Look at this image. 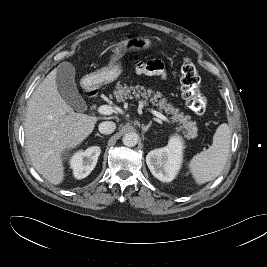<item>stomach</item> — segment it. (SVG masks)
I'll return each mask as SVG.
<instances>
[{"label":"stomach","mask_w":267,"mask_h":267,"mask_svg":"<svg viewBox=\"0 0 267 267\" xmlns=\"http://www.w3.org/2000/svg\"><path fill=\"white\" fill-rule=\"evenodd\" d=\"M151 47V41L144 37L127 38L116 44L108 66H105L85 77L88 86L100 87L116 80L122 73L120 57L128 51L147 50Z\"/></svg>","instance_id":"obj_1"}]
</instances>
